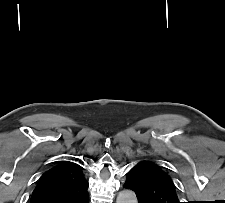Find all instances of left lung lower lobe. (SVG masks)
I'll return each instance as SVG.
<instances>
[{
	"mask_svg": "<svg viewBox=\"0 0 225 203\" xmlns=\"http://www.w3.org/2000/svg\"><path fill=\"white\" fill-rule=\"evenodd\" d=\"M123 187L128 189V187H127V185H126V184H124V185H123Z\"/></svg>",
	"mask_w": 225,
	"mask_h": 203,
	"instance_id": "left-lung-lower-lobe-1",
	"label": "left lung lower lobe"
}]
</instances>
